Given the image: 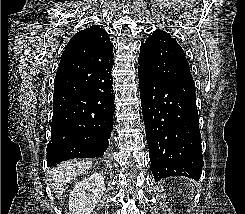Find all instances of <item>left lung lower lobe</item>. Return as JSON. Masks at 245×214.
Masks as SVG:
<instances>
[{
  "instance_id": "1",
  "label": "left lung lower lobe",
  "mask_w": 245,
  "mask_h": 214,
  "mask_svg": "<svg viewBox=\"0 0 245 214\" xmlns=\"http://www.w3.org/2000/svg\"><path fill=\"white\" fill-rule=\"evenodd\" d=\"M138 76L154 179L185 176L199 181L204 163L195 85L165 80L141 69Z\"/></svg>"
}]
</instances>
